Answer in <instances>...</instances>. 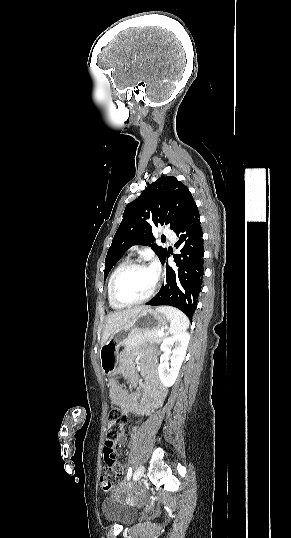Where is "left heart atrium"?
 I'll use <instances>...</instances> for the list:
<instances>
[{"mask_svg":"<svg viewBox=\"0 0 291 538\" xmlns=\"http://www.w3.org/2000/svg\"><path fill=\"white\" fill-rule=\"evenodd\" d=\"M151 271L156 275L158 274V265L157 263H153L151 266Z\"/></svg>","mask_w":291,"mask_h":538,"instance_id":"obj_1","label":"left heart atrium"}]
</instances>
